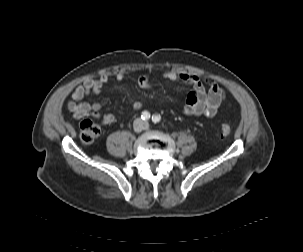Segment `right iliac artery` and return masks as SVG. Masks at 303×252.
Masks as SVG:
<instances>
[{"instance_id": "82829eb1", "label": "right iliac artery", "mask_w": 303, "mask_h": 252, "mask_svg": "<svg viewBox=\"0 0 303 252\" xmlns=\"http://www.w3.org/2000/svg\"><path fill=\"white\" fill-rule=\"evenodd\" d=\"M141 118H142V120H144V121L148 120V119L150 118V113H149L148 111L142 112Z\"/></svg>"}]
</instances>
